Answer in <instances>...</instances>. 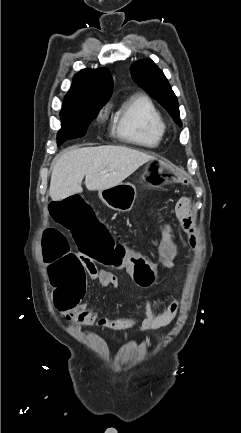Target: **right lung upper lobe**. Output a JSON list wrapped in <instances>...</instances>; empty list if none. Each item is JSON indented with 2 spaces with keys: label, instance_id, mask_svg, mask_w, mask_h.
I'll return each mask as SVG.
<instances>
[{
  "label": "right lung upper lobe",
  "instance_id": "1",
  "mask_svg": "<svg viewBox=\"0 0 241 433\" xmlns=\"http://www.w3.org/2000/svg\"><path fill=\"white\" fill-rule=\"evenodd\" d=\"M112 89V76L107 69H84L74 76L72 87L65 96L64 104L78 102L106 104L112 94Z\"/></svg>",
  "mask_w": 241,
  "mask_h": 433
}]
</instances>
